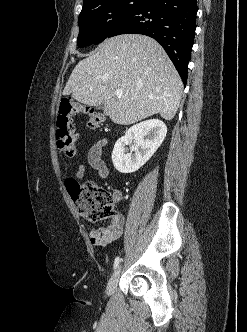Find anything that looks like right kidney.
I'll return each mask as SVG.
<instances>
[{"label": "right kidney", "instance_id": "1", "mask_svg": "<svg viewBox=\"0 0 247 332\" xmlns=\"http://www.w3.org/2000/svg\"><path fill=\"white\" fill-rule=\"evenodd\" d=\"M167 127L158 119L140 122L127 130L117 140L112 152V162L120 173H133L142 167L160 147L166 137ZM130 151L127 146L132 144Z\"/></svg>", "mask_w": 247, "mask_h": 332}]
</instances>
